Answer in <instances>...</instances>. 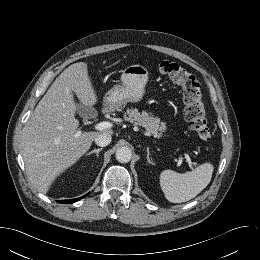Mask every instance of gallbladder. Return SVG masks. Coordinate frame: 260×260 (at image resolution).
<instances>
[{
  "instance_id": "bac80fb5",
  "label": "gallbladder",
  "mask_w": 260,
  "mask_h": 260,
  "mask_svg": "<svg viewBox=\"0 0 260 260\" xmlns=\"http://www.w3.org/2000/svg\"><path fill=\"white\" fill-rule=\"evenodd\" d=\"M77 112L79 113L80 116L83 118L86 117H95L97 115V111L88 106H84L83 104H77Z\"/></svg>"
}]
</instances>
